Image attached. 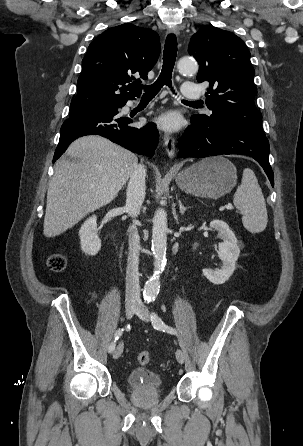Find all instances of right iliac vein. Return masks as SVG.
Instances as JSON below:
<instances>
[{
  "label": "right iliac vein",
  "mask_w": 303,
  "mask_h": 446,
  "mask_svg": "<svg viewBox=\"0 0 303 446\" xmlns=\"http://www.w3.org/2000/svg\"><path fill=\"white\" fill-rule=\"evenodd\" d=\"M137 304L132 303V302H128L125 304V312H126V316L127 318H131L133 316V314L136 312L137 310ZM123 343H120L117 348L114 350L113 352V358L117 359L121 356L122 352H123Z\"/></svg>",
  "instance_id": "1"
}]
</instances>
